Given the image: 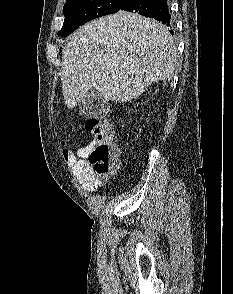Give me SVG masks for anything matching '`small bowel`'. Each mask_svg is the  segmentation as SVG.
I'll return each instance as SVG.
<instances>
[{
  "mask_svg": "<svg viewBox=\"0 0 233 294\" xmlns=\"http://www.w3.org/2000/svg\"><path fill=\"white\" fill-rule=\"evenodd\" d=\"M90 149L91 145L78 148L75 155L72 151L65 148L63 153L68 163L73 166L84 179L86 188L93 191L103 184L105 178L96 174L88 163L87 156Z\"/></svg>",
  "mask_w": 233,
  "mask_h": 294,
  "instance_id": "small-bowel-1",
  "label": "small bowel"
}]
</instances>
